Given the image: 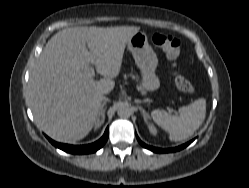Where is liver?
Listing matches in <instances>:
<instances>
[{
	"instance_id": "1",
	"label": "liver",
	"mask_w": 249,
	"mask_h": 188,
	"mask_svg": "<svg viewBox=\"0 0 249 188\" xmlns=\"http://www.w3.org/2000/svg\"><path fill=\"white\" fill-rule=\"evenodd\" d=\"M139 27H73L56 33L30 78L36 125L58 142L86 137L98 119L102 96L112 91L125 46ZM87 44V46H86ZM97 73L105 78L93 79Z\"/></svg>"
}]
</instances>
